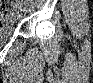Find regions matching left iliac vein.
Here are the masks:
<instances>
[{
  "mask_svg": "<svg viewBox=\"0 0 93 83\" xmlns=\"http://www.w3.org/2000/svg\"><path fill=\"white\" fill-rule=\"evenodd\" d=\"M23 11H27V10H26V8H24V10H23Z\"/></svg>",
  "mask_w": 93,
  "mask_h": 83,
  "instance_id": "obj_1",
  "label": "left iliac vein"
}]
</instances>
